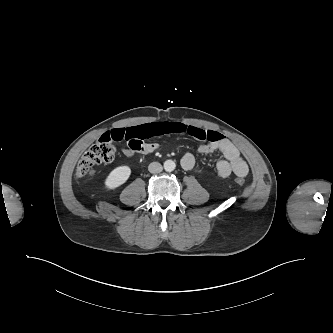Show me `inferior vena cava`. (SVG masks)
Listing matches in <instances>:
<instances>
[{"label": "inferior vena cava", "mask_w": 333, "mask_h": 333, "mask_svg": "<svg viewBox=\"0 0 333 333\" xmlns=\"http://www.w3.org/2000/svg\"><path fill=\"white\" fill-rule=\"evenodd\" d=\"M148 170L151 173H160L162 172L163 167L159 162H152L149 164Z\"/></svg>", "instance_id": "inferior-vena-cava-1"}]
</instances>
